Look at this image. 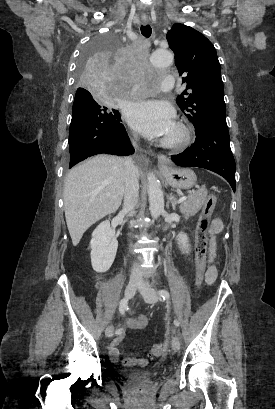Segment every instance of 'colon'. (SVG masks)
<instances>
[{"label":"colon","instance_id":"colon-1","mask_svg":"<svg viewBox=\"0 0 275 409\" xmlns=\"http://www.w3.org/2000/svg\"><path fill=\"white\" fill-rule=\"evenodd\" d=\"M217 198L214 194H210L200 213L195 231V267L197 275V283L202 284L206 269V253H207V230L210 224L212 212L216 206ZM152 349L149 351L151 358L161 356L163 344L161 342H153Z\"/></svg>","mask_w":275,"mask_h":409}]
</instances>
